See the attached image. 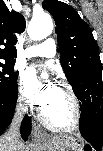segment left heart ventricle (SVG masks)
Listing matches in <instances>:
<instances>
[{"label": "left heart ventricle", "instance_id": "left-heart-ventricle-1", "mask_svg": "<svg viewBox=\"0 0 103 151\" xmlns=\"http://www.w3.org/2000/svg\"><path fill=\"white\" fill-rule=\"evenodd\" d=\"M47 118L57 125H67L72 121L73 109L68 94L56 86L50 103L43 109Z\"/></svg>", "mask_w": 103, "mask_h": 151}]
</instances>
